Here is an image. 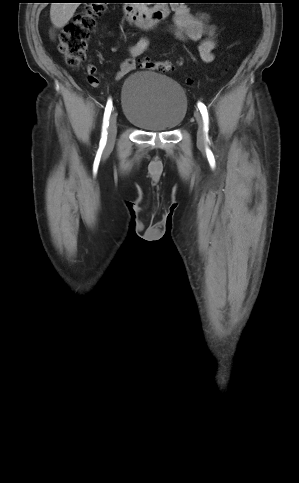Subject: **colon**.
<instances>
[{
    "instance_id": "obj_1",
    "label": "colon",
    "mask_w": 299,
    "mask_h": 483,
    "mask_svg": "<svg viewBox=\"0 0 299 483\" xmlns=\"http://www.w3.org/2000/svg\"><path fill=\"white\" fill-rule=\"evenodd\" d=\"M93 3L87 10L69 21L60 35L59 50L64 55L69 67L77 68L86 60L91 32L96 25V16L105 9V4L101 0H96ZM140 67L159 73H168L174 70V66L170 62H155L148 59H143L140 62ZM87 80L90 84L95 81L91 75H88Z\"/></svg>"
}]
</instances>
